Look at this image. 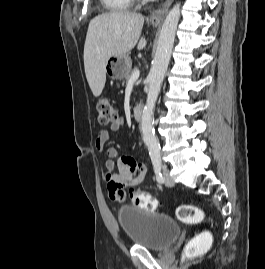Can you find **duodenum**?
Instances as JSON below:
<instances>
[{"mask_svg": "<svg viewBox=\"0 0 265 269\" xmlns=\"http://www.w3.org/2000/svg\"><path fill=\"white\" fill-rule=\"evenodd\" d=\"M143 112H144V106L142 104L137 105L133 111L134 119L137 121L141 120L143 116Z\"/></svg>", "mask_w": 265, "mask_h": 269, "instance_id": "obj_1", "label": "duodenum"}]
</instances>
